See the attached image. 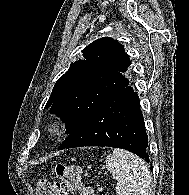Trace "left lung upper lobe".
Returning <instances> with one entry per match:
<instances>
[{
  "mask_svg": "<svg viewBox=\"0 0 189 195\" xmlns=\"http://www.w3.org/2000/svg\"><path fill=\"white\" fill-rule=\"evenodd\" d=\"M82 52L85 59L71 63L55 83L45 106L65 122L66 134H71L107 99L130 83L123 73L131 61L116 40L98 39Z\"/></svg>",
  "mask_w": 189,
  "mask_h": 195,
  "instance_id": "obj_1",
  "label": "left lung upper lobe"
}]
</instances>
